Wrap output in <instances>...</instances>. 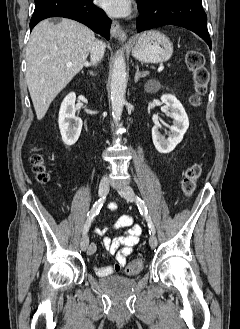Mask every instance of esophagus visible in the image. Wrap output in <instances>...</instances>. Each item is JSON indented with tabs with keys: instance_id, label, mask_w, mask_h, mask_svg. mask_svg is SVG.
I'll use <instances>...</instances> for the list:
<instances>
[{
	"instance_id": "1",
	"label": "esophagus",
	"mask_w": 240,
	"mask_h": 329,
	"mask_svg": "<svg viewBox=\"0 0 240 329\" xmlns=\"http://www.w3.org/2000/svg\"><path fill=\"white\" fill-rule=\"evenodd\" d=\"M111 35L122 42L127 39L126 33L122 30L119 22L116 20H112L111 22Z\"/></svg>"
}]
</instances>
